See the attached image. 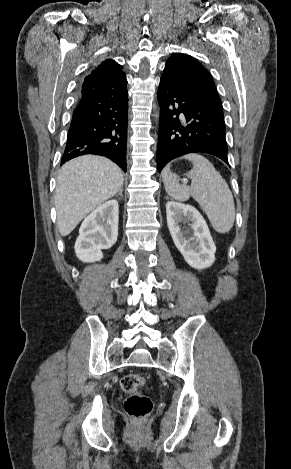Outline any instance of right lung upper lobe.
<instances>
[{"label":"right lung upper lobe","mask_w":291,"mask_h":469,"mask_svg":"<svg viewBox=\"0 0 291 469\" xmlns=\"http://www.w3.org/2000/svg\"><path fill=\"white\" fill-rule=\"evenodd\" d=\"M117 62L107 59L87 75L81 85L79 95L93 93L102 89L126 90L125 73Z\"/></svg>","instance_id":"1"}]
</instances>
